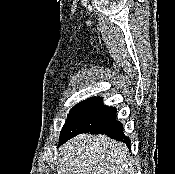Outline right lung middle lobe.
<instances>
[{
  "instance_id": "right-lung-middle-lobe-1",
  "label": "right lung middle lobe",
  "mask_w": 175,
  "mask_h": 174,
  "mask_svg": "<svg viewBox=\"0 0 175 174\" xmlns=\"http://www.w3.org/2000/svg\"><path fill=\"white\" fill-rule=\"evenodd\" d=\"M85 101L80 102L79 104H77L76 106H74L71 109L70 113L68 114L67 120H66V122H65V124H64V126L62 128L59 140L64 136V134H65L67 128L69 127L70 123L72 122V120L74 119V117L76 116V114L78 113L80 108L83 106Z\"/></svg>"
}]
</instances>
